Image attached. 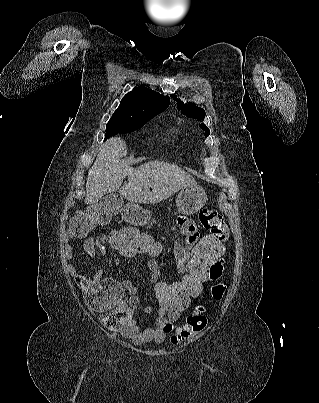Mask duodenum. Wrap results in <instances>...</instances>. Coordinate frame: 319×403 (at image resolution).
<instances>
[{
	"label": "duodenum",
	"instance_id": "1",
	"mask_svg": "<svg viewBox=\"0 0 319 403\" xmlns=\"http://www.w3.org/2000/svg\"><path fill=\"white\" fill-rule=\"evenodd\" d=\"M132 211H133V209L131 207L125 208V214H127V215L131 214Z\"/></svg>",
	"mask_w": 319,
	"mask_h": 403
}]
</instances>
